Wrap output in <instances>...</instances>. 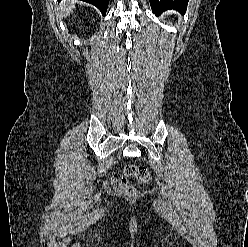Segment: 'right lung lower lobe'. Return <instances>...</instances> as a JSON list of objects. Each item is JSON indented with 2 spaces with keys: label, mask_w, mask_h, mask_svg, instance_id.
<instances>
[{
  "label": "right lung lower lobe",
  "mask_w": 248,
  "mask_h": 247,
  "mask_svg": "<svg viewBox=\"0 0 248 247\" xmlns=\"http://www.w3.org/2000/svg\"><path fill=\"white\" fill-rule=\"evenodd\" d=\"M61 1V0H58ZM87 3H91L95 5L103 15L106 14L107 7H108V0H82Z\"/></svg>",
  "instance_id": "right-lung-lower-lobe-1"
}]
</instances>
